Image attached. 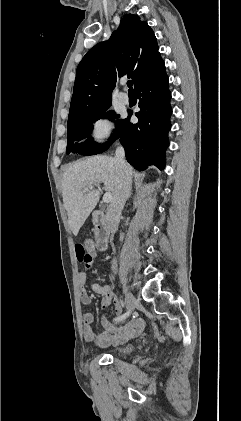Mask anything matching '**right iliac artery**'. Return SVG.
<instances>
[{
  "mask_svg": "<svg viewBox=\"0 0 241 421\" xmlns=\"http://www.w3.org/2000/svg\"><path fill=\"white\" fill-rule=\"evenodd\" d=\"M128 316H129V312L127 311V312H126V313H124L123 315L116 317L114 320H115V321H121V320L126 319Z\"/></svg>",
  "mask_w": 241,
  "mask_h": 421,
  "instance_id": "obj_1",
  "label": "right iliac artery"
}]
</instances>
